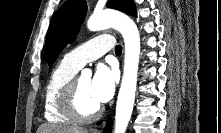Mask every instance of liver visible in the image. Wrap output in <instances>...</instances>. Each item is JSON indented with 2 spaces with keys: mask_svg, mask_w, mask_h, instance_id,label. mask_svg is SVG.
I'll return each instance as SVG.
<instances>
[{
  "mask_svg": "<svg viewBox=\"0 0 221 133\" xmlns=\"http://www.w3.org/2000/svg\"><path fill=\"white\" fill-rule=\"evenodd\" d=\"M37 133H89L87 129L68 127L54 124H43L41 125Z\"/></svg>",
  "mask_w": 221,
  "mask_h": 133,
  "instance_id": "liver-1",
  "label": "liver"
}]
</instances>
